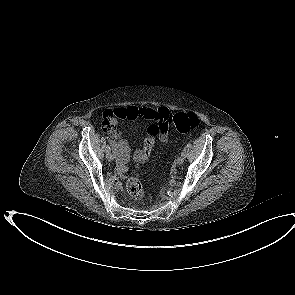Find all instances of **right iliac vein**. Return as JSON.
<instances>
[{"label": "right iliac vein", "instance_id": "1", "mask_svg": "<svg viewBox=\"0 0 295 295\" xmlns=\"http://www.w3.org/2000/svg\"><path fill=\"white\" fill-rule=\"evenodd\" d=\"M106 158L108 161H113L115 159V155L112 152H107Z\"/></svg>", "mask_w": 295, "mask_h": 295}]
</instances>
